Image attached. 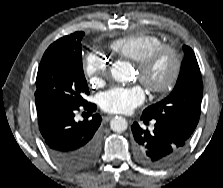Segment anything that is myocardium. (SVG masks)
<instances>
[{"mask_svg":"<svg viewBox=\"0 0 223 188\" xmlns=\"http://www.w3.org/2000/svg\"><path fill=\"white\" fill-rule=\"evenodd\" d=\"M165 54H169L172 60L171 73L164 82L153 83L149 80V74L160 57ZM137 70L139 73V80L151 93L164 94L171 91L180 78L182 71V57L174 46L162 44L137 62Z\"/></svg>","mask_w":223,"mask_h":188,"instance_id":"1","label":"myocardium"}]
</instances>
